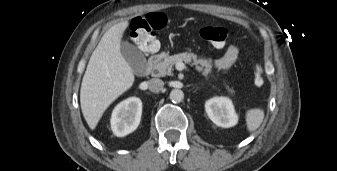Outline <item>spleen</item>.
<instances>
[{
  "instance_id": "1",
  "label": "spleen",
  "mask_w": 337,
  "mask_h": 171,
  "mask_svg": "<svg viewBox=\"0 0 337 171\" xmlns=\"http://www.w3.org/2000/svg\"><path fill=\"white\" fill-rule=\"evenodd\" d=\"M246 125L249 132H253L258 129L264 119V111L259 108L249 109L246 112Z\"/></svg>"
}]
</instances>
